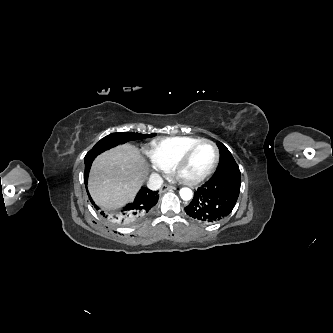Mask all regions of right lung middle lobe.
<instances>
[{
	"label": "right lung middle lobe",
	"instance_id": "obj_1",
	"mask_svg": "<svg viewBox=\"0 0 333 333\" xmlns=\"http://www.w3.org/2000/svg\"><path fill=\"white\" fill-rule=\"evenodd\" d=\"M154 134H140V133H112L99 142L88 152L89 155H99L107 149H110L118 144H123L127 141L137 140L141 138H148Z\"/></svg>",
	"mask_w": 333,
	"mask_h": 333
}]
</instances>
